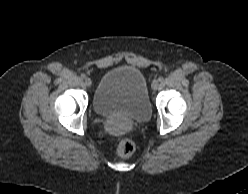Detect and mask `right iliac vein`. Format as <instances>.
I'll return each mask as SVG.
<instances>
[{"label":"right iliac vein","mask_w":248,"mask_h":194,"mask_svg":"<svg viewBox=\"0 0 248 194\" xmlns=\"http://www.w3.org/2000/svg\"><path fill=\"white\" fill-rule=\"evenodd\" d=\"M85 84H86V86H91V84H92L91 79L90 78H86L85 79Z\"/></svg>","instance_id":"obj_1"}]
</instances>
